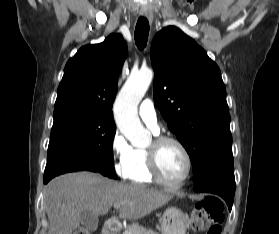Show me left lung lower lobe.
I'll list each match as a JSON object with an SVG mask.
<instances>
[{
    "label": "left lung lower lobe",
    "mask_w": 279,
    "mask_h": 234,
    "mask_svg": "<svg viewBox=\"0 0 279 234\" xmlns=\"http://www.w3.org/2000/svg\"><path fill=\"white\" fill-rule=\"evenodd\" d=\"M194 185L196 192H208L221 196L226 201L229 210H231L235 194L234 175L218 174Z\"/></svg>",
    "instance_id": "obj_1"
}]
</instances>
